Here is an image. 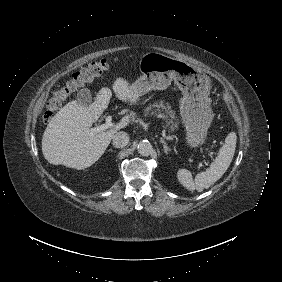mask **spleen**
<instances>
[{
  "instance_id": "1",
  "label": "spleen",
  "mask_w": 282,
  "mask_h": 282,
  "mask_svg": "<svg viewBox=\"0 0 282 282\" xmlns=\"http://www.w3.org/2000/svg\"><path fill=\"white\" fill-rule=\"evenodd\" d=\"M236 133L230 132L224 141V145L220 147L219 153L215 161L210 164L205 172L198 173L193 181L190 171L183 169L178 172L179 180L188 189L202 191L215 183L228 169L235 153Z\"/></svg>"
}]
</instances>
